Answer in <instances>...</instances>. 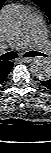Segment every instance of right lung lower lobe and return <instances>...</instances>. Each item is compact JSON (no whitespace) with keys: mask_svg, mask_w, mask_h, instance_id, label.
I'll return each mask as SVG.
<instances>
[{"mask_svg":"<svg viewBox=\"0 0 51 153\" xmlns=\"http://www.w3.org/2000/svg\"><path fill=\"white\" fill-rule=\"evenodd\" d=\"M12 67H13V63L9 62L7 67L1 72V74H0V84H1V82H3L5 80L7 75L10 73Z\"/></svg>","mask_w":51,"mask_h":153,"instance_id":"obj_1","label":"right lung lower lobe"}]
</instances>
